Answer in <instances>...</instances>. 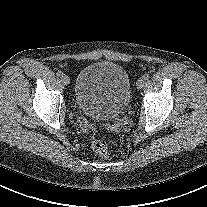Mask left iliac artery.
<instances>
[{
  "mask_svg": "<svg viewBox=\"0 0 207 207\" xmlns=\"http://www.w3.org/2000/svg\"><path fill=\"white\" fill-rule=\"evenodd\" d=\"M143 78H144L145 80H148V79L150 78V76H149L148 73H145V74L143 75Z\"/></svg>",
  "mask_w": 207,
  "mask_h": 207,
  "instance_id": "1",
  "label": "left iliac artery"
}]
</instances>
